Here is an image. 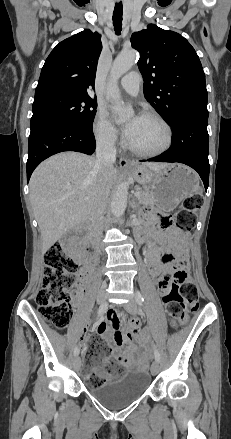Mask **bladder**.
<instances>
[{"label":"bladder","mask_w":231,"mask_h":439,"mask_svg":"<svg viewBox=\"0 0 231 439\" xmlns=\"http://www.w3.org/2000/svg\"><path fill=\"white\" fill-rule=\"evenodd\" d=\"M150 384L149 372L145 369L135 368L129 370L119 382L89 387L88 391L92 397L106 407L119 409L143 396Z\"/></svg>","instance_id":"31cf9c89"}]
</instances>
